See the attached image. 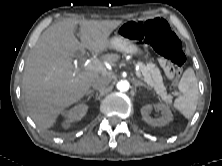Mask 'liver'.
<instances>
[{"mask_svg": "<svg viewBox=\"0 0 222 166\" xmlns=\"http://www.w3.org/2000/svg\"><path fill=\"white\" fill-rule=\"evenodd\" d=\"M121 20L65 19L47 28L27 58L22 80V93L27 111L41 129L52 127L58 115L79 101L97 79V71H80L72 65V57L85 49L102 53L109 47V36ZM80 25L81 42L75 37ZM103 60L113 63L116 54Z\"/></svg>", "mask_w": 222, "mask_h": 166, "instance_id": "obj_1", "label": "liver"}]
</instances>
